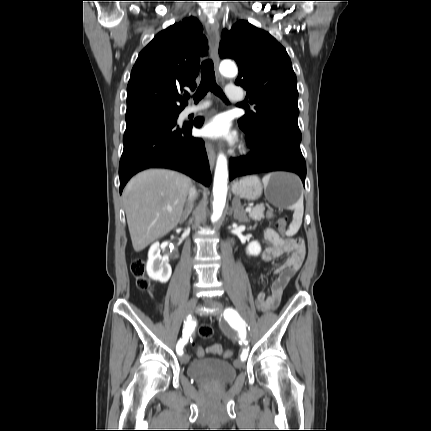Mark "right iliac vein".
<instances>
[{"mask_svg": "<svg viewBox=\"0 0 431 431\" xmlns=\"http://www.w3.org/2000/svg\"><path fill=\"white\" fill-rule=\"evenodd\" d=\"M197 301H198V299L196 296H193L192 298L189 299V301L187 302L186 308H185V317H188L193 312V310L196 307ZM180 361H181V363H184V364L188 363L189 356L187 354H183L180 357Z\"/></svg>", "mask_w": 431, "mask_h": 431, "instance_id": "1", "label": "right iliac vein"}]
</instances>
